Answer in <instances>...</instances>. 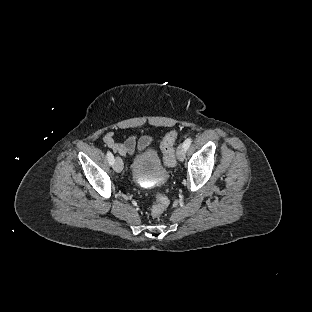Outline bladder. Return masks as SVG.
Wrapping results in <instances>:
<instances>
[{"label":"bladder","instance_id":"obj_1","mask_svg":"<svg viewBox=\"0 0 312 312\" xmlns=\"http://www.w3.org/2000/svg\"><path fill=\"white\" fill-rule=\"evenodd\" d=\"M130 170L138 175L166 177L159 160L158 152L139 155L130 164Z\"/></svg>","mask_w":312,"mask_h":312}]
</instances>
